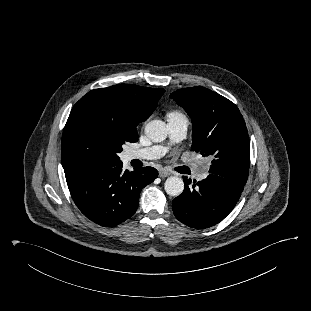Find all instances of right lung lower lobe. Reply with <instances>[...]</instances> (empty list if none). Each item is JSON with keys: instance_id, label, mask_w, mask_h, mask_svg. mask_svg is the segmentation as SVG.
<instances>
[{"instance_id": "98d812e1", "label": "right lung lower lobe", "mask_w": 311, "mask_h": 311, "mask_svg": "<svg viewBox=\"0 0 311 311\" xmlns=\"http://www.w3.org/2000/svg\"><path fill=\"white\" fill-rule=\"evenodd\" d=\"M122 162L65 167L67 185L76 206L94 223L116 226L136 212L143 187L153 182V167L123 171Z\"/></svg>"}]
</instances>
